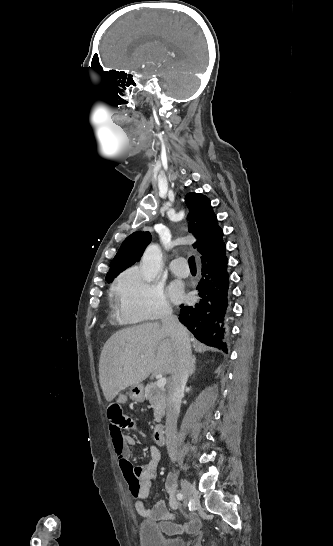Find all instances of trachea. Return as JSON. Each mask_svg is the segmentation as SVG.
<instances>
[{
  "instance_id": "3493384b",
  "label": "trachea",
  "mask_w": 333,
  "mask_h": 546,
  "mask_svg": "<svg viewBox=\"0 0 333 546\" xmlns=\"http://www.w3.org/2000/svg\"><path fill=\"white\" fill-rule=\"evenodd\" d=\"M190 268L196 269V263L194 256H191L188 260Z\"/></svg>"
}]
</instances>
